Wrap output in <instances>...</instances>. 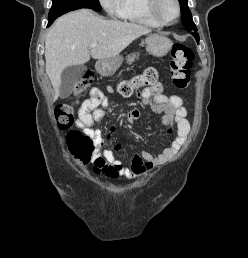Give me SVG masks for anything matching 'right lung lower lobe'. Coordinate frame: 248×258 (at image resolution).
<instances>
[{
  "label": "right lung lower lobe",
  "instance_id": "1",
  "mask_svg": "<svg viewBox=\"0 0 248 258\" xmlns=\"http://www.w3.org/2000/svg\"><path fill=\"white\" fill-rule=\"evenodd\" d=\"M53 21H54V20L49 21V22H48V26H50V25L53 23ZM48 26H47V27H48Z\"/></svg>",
  "mask_w": 248,
  "mask_h": 258
}]
</instances>
